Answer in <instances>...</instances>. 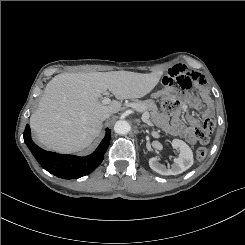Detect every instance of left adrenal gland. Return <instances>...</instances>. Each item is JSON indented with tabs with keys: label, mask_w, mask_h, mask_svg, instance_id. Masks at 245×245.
Masks as SVG:
<instances>
[{
	"label": "left adrenal gland",
	"mask_w": 245,
	"mask_h": 245,
	"mask_svg": "<svg viewBox=\"0 0 245 245\" xmlns=\"http://www.w3.org/2000/svg\"><path fill=\"white\" fill-rule=\"evenodd\" d=\"M142 127L147 128V126H145V125H144V126H142ZM142 127H141V128H142Z\"/></svg>",
	"instance_id": "left-adrenal-gland-1"
}]
</instances>
